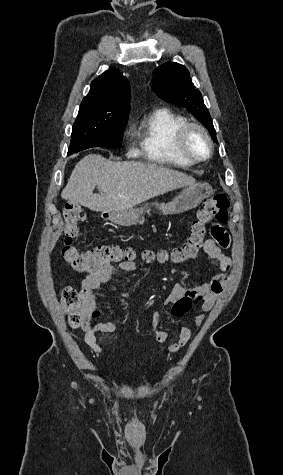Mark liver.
<instances>
[{"label": "liver", "mask_w": 283, "mask_h": 475, "mask_svg": "<svg viewBox=\"0 0 283 475\" xmlns=\"http://www.w3.org/2000/svg\"><path fill=\"white\" fill-rule=\"evenodd\" d=\"M195 182V178L160 164L110 162L90 154L76 164L61 198L92 212H117ZM95 186L101 194H93Z\"/></svg>", "instance_id": "6515ba94"}]
</instances>
